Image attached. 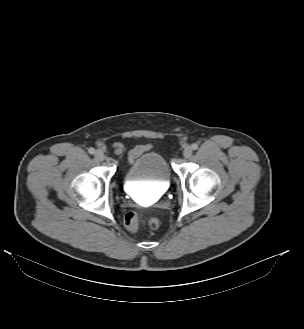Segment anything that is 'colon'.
I'll use <instances>...</instances> for the list:
<instances>
[{
	"label": "colon",
	"mask_w": 304,
	"mask_h": 329,
	"mask_svg": "<svg viewBox=\"0 0 304 329\" xmlns=\"http://www.w3.org/2000/svg\"><path fill=\"white\" fill-rule=\"evenodd\" d=\"M124 223L127 229H129L130 231H137L144 224L139 215L135 212L127 213L124 218ZM147 224L150 229L157 230L160 226V221L158 218H150L147 221Z\"/></svg>",
	"instance_id": "1"
}]
</instances>
